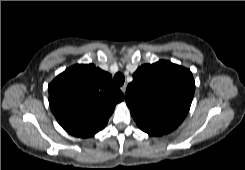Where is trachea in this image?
<instances>
[{"label":"trachea","instance_id":"1","mask_svg":"<svg viewBox=\"0 0 245 170\" xmlns=\"http://www.w3.org/2000/svg\"><path fill=\"white\" fill-rule=\"evenodd\" d=\"M125 77L122 73H116L114 76V82L117 86H122L124 84Z\"/></svg>","mask_w":245,"mask_h":170}]
</instances>
